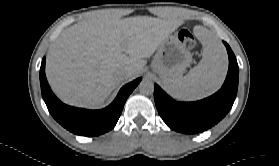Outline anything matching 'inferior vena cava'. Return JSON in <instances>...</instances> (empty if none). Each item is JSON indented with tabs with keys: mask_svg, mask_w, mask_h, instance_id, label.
<instances>
[{
	"mask_svg": "<svg viewBox=\"0 0 279 166\" xmlns=\"http://www.w3.org/2000/svg\"><path fill=\"white\" fill-rule=\"evenodd\" d=\"M131 72H132V69L130 67H123L117 72V77L120 80H125L129 77Z\"/></svg>",
	"mask_w": 279,
	"mask_h": 166,
	"instance_id": "1",
	"label": "inferior vena cava"
}]
</instances>
